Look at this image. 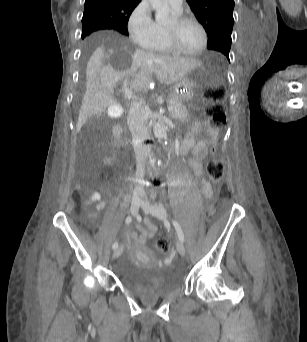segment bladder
<instances>
[{
    "label": "bladder",
    "mask_w": 307,
    "mask_h": 342,
    "mask_svg": "<svg viewBox=\"0 0 307 342\" xmlns=\"http://www.w3.org/2000/svg\"><path fill=\"white\" fill-rule=\"evenodd\" d=\"M119 280L130 292L151 300L170 294L181 283L179 276L172 271L146 266L132 259L122 262Z\"/></svg>",
    "instance_id": "31cf9c89"
}]
</instances>
